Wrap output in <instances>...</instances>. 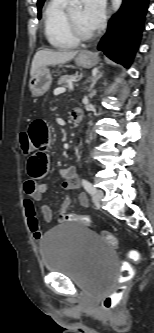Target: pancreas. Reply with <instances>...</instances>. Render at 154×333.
<instances>
[{"label":"pancreas","instance_id":"obj_1","mask_svg":"<svg viewBox=\"0 0 154 333\" xmlns=\"http://www.w3.org/2000/svg\"><path fill=\"white\" fill-rule=\"evenodd\" d=\"M78 75H63L58 79L57 84L68 87L73 81L78 79Z\"/></svg>","mask_w":154,"mask_h":333}]
</instances>
